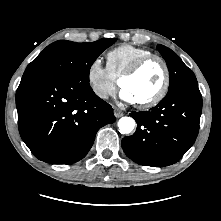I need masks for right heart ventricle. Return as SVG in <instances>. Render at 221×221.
Wrapping results in <instances>:
<instances>
[{
  "mask_svg": "<svg viewBox=\"0 0 221 221\" xmlns=\"http://www.w3.org/2000/svg\"><path fill=\"white\" fill-rule=\"evenodd\" d=\"M151 53L149 49L144 47L122 44L107 52L106 67L114 79H119L134 62Z\"/></svg>",
  "mask_w": 221,
  "mask_h": 221,
  "instance_id": "right-heart-ventricle-1",
  "label": "right heart ventricle"
}]
</instances>
